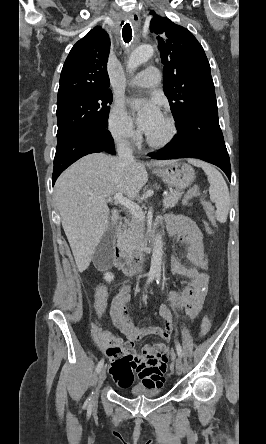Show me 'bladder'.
<instances>
[{"label": "bladder", "instance_id": "31cf9c89", "mask_svg": "<svg viewBox=\"0 0 266 444\" xmlns=\"http://www.w3.org/2000/svg\"><path fill=\"white\" fill-rule=\"evenodd\" d=\"M161 394L159 389H148L143 387H134L130 391V395L140 398H156Z\"/></svg>", "mask_w": 266, "mask_h": 444}]
</instances>
